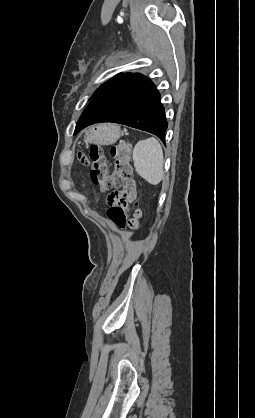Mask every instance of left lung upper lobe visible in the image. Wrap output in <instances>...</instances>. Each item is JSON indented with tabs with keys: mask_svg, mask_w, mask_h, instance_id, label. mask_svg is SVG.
Returning a JSON list of instances; mask_svg holds the SVG:
<instances>
[{
	"mask_svg": "<svg viewBox=\"0 0 255 418\" xmlns=\"http://www.w3.org/2000/svg\"><path fill=\"white\" fill-rule=\"evenodd\" d=\"M122 73H119L117 75H115L113 78H111L110 80H108L107 82H105L104 84H102L96 91L95 93L92 95V97L89 100H92L94 97H96L109 83H111L113 80H115L117 77H119ZM79 132V130L76 128L75 129V134Z\"/></svg>",
	"mask_w": 255,
	"mask_h": 418,
	"instance_id": "1",
	"label": "left lung upper lobe"
}]
</instances>
